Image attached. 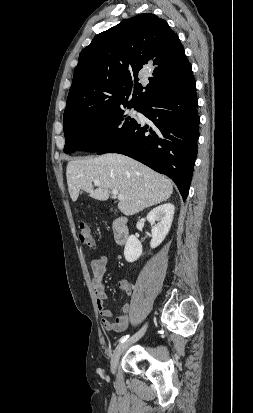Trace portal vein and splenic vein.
<instances>
[{"mask_svg":"<svg viewBox=\"0 0 253 413\" xmlns=\"http://www.w3.org/2000/svg\"><path fill=\"white\" fill-rule=\"evenodd\" d=\"M94 184L97 186V185L100 184V181L95 180V181H94ZM111 193H112L114 196H117L119 200H123V199H124L123 195L119 194V193H118V190H116V189L112 190Z\"/></svg>","mask_w":253,"mask_h":413,"instance_id":"18ae733b","label":"portal vein and splenic vein"}]
</instances>
